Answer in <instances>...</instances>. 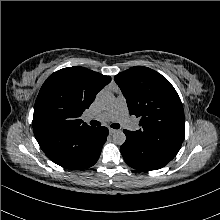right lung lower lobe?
<instances>
[{
	"label": "right lung lower lobe",
	"instance_id": "1",
	"mask_svg": "<svg viewBox=\"0 0 220 220\" xmlns=\"http://www.w3.org/2000/svg\"><path fill=\"white\" fill-rule=\"evenodd\" d=\"M107 135L106 127H97L87 133L75 135L56 147L41 149L51 161L66 169H85L97 162Z\"/></svg>",
	"mask_w": 220,
	"mask_h": 220
}]
</instances>
